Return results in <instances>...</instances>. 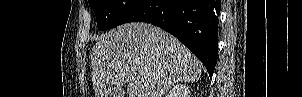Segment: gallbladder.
Wrapping results in <instances>:
<instances>
[{
    "mask_svg": "<svg viewBox=\"0 0 302 97\" xmlns=\"http://www.w3.org/2000/svg\"><path fill=\"white\" fill-rule=\"evenodd\" d=\"M124 96V90L123 89H112L111 91H109L107 97H123Z\"/></svg>",
    "mask_w": 302,
    "mask_h": 97,
    "instance_id": "1",
    "label": "gallbladder"
}]
</instances>
